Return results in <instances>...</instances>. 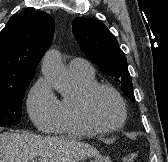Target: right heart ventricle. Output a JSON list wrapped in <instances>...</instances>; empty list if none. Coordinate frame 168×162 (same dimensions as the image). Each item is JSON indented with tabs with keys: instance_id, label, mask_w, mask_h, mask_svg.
Returning <instances> with one entry per match:
<instances>
[{
	"instance_id": "e07e8e85",
	"label": "right heart ventricle",
	"mask_w": 168,
	"mask_h": 162,
	"mask_svg": "<svg viewBox=\"0 0 168 162\" xmlns=\"http://www.w3.org/2000/svg\"><path fill=\"white\" fill-rule=\"evenodd\" d=\"M75 94L70 97H64L59 101L60 116L56 125L51 129V132L57 135L83 137L95 134L97 131L89 127L80 118L77 101L81 92L95 83L94 75L80 76L71 74Z\"/></svg>"
}]
</instances>
